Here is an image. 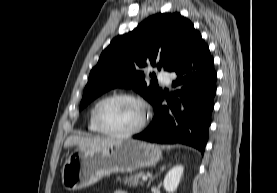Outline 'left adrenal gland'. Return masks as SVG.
Masks as SVG:
<instances>
[{"mask_svg": "<svg viewBox=\"0 0 277 193\" xmlns=\"http://www.w3.org/2000/svg\"><path fill=\"white\" fill-rule=\"evenodd\" d=\"M165 168H166V166H165V165L161 166V167H160V172L164 171V170H165ZM157 175H158V174H156L153 178H151V179H150V181H149V183H148L147 187H149V186H150V184H151L152 180H153L154 178H156V177H157Z\"/></svg>", "mask_w": 277, "mask_h": 193, "instance_id": "a2214340", "label": "left adrenal gland"}]
</instances>
